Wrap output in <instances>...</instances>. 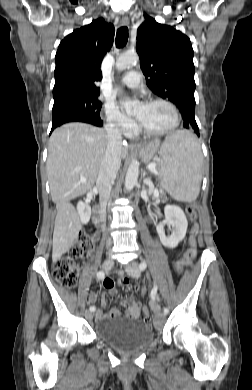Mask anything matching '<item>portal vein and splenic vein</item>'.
I'll return each instance as SVG.
<instances>
[{"label":"portal vein and splenic vein","instance_id":"18ae733b","mask_svg":"<svg viewBox=\"0 0 252 390\" xmlns=\"http://www.w3.org/2000/svg\"><path fill=\"white\" fill-rule=\"evenodd\" d=\"M148 169H149L151 172H153V173H157V170H156V162L150 163V164L148 165ZM81 182L84 183V182H85V179H81ZM145 182H147V181H145ZM149 187H150L152 190L154 189L153 185H149ZM154 195H155V197H158V195H159L158 191H155V190H154Z\"/></svg>","mask_w":252,"mask_h":390}]
</instances>
